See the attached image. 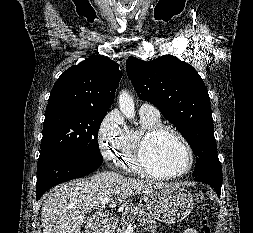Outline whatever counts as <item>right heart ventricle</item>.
Returning <instances> with one entry per match:
<instances>
[{
    "instance_id": "e07e8e85",
    "label": "right heart ventricle",
    "mask_w": 253,
    "mask_h": 233,
    "mask_svg": "<svg viewBox=\"0 0 253 233\" xmlns=\"http://www.w3.org/2000/svg\"><path fill=\"white\" fill-rule=\"evenodd\" d=\"M140 121L141 127L139 129H127L122 147L115 159L117 166L136 174H142L135 160L136 149L141 136L150 128L162 124L160 116L140 115Z\"/></svg>"
}]
</instances>
